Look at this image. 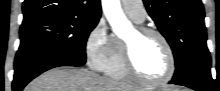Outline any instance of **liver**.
Here are the masks:
<instances>
[{"mask_svg":"<svg viewBox=\"0 0 220 91\" xmlns=\"http://www.w3.org/2000/svg\"><path fill=\"white\" fill-rule=\"evenodd\" d=\"M24 91H137L129 84L104 78L85 69L57 67L30 82Z\"/></svg>","mask_w":220,"mask_h":91,"instance_id":"obj_1","label":"liver"}]
</instances>
